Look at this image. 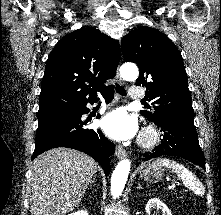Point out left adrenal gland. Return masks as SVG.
<instances>
[{
	"mask_svg": "<svg viewBox=\"0 0 221 215\" xmlns=\"http://www.w3.org/2000/svg\"><path fill=\"white\" fill-rule=\"evenodd\" d=\"M137 189H143V187L140 184H138Z\"/></svg>",
	"mask_w": 221,
	"mask_h": 215,
	"instance_id": "a2214340",
	"label": "left adrenal gland"
}]
</instances>
